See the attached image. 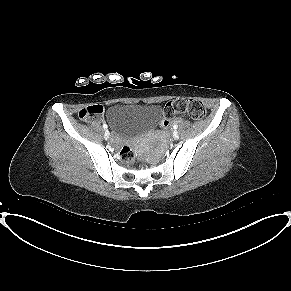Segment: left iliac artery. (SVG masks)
<instances>
[{
	"label": "left iliac artery",
	"mask_w": 291,
	"mask_h": 291,
	"mask_svg": "<svg viewBox=\"0 0 291 291\" xmlns=\"http://www.w3.org/2000/svg\"><path fill=\"white\" fill-rule=\"evenodd\" d=\"M173 128H174V129H177V128H178V125L175 124V125L173 126Z\"/></svg>",
	"instance_id": "44dca946"
}]
</instances>
